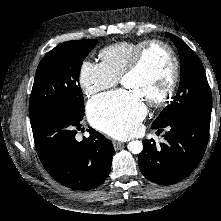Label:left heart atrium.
Returning <instances> with one entry per match:
<instances>
[{
  "label": "left heart atrium",
  "instance_id": "39dd6f15",
  "mask_svg": "<svg viewBox=\"0 0 221 221\" xmlns=\"http://www.w3.org/2000/svg\"><path fill=\"white\" fill-rule=\"evenodd\" d=\"M146 111L143 99L133 90L100 95L91 100L87 107L93 126L120 140L139 132V123Z\"/></svg>",
  "mask_w": 221,
  "mask_h": 221
}]
</instances>
